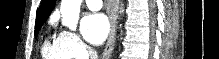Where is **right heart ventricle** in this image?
I'll return each instance as SVG.
<instances>
[{"label":"right heart ventricle","mask_w":219,"mask_h":59,"mask_svg":"<svg viewBox=\"0 0 219 59\" xmlns=\"http://www.w3.org/2000/svg\"><path fill=\"white\" fill-rule=\"evenodd\" d=\"M41 55L44 59H71L65 48L60 33H53L45 38L41 46Z\"/></svg>","instance_id":"right-heart-ventricle-1"}]
</instances>
